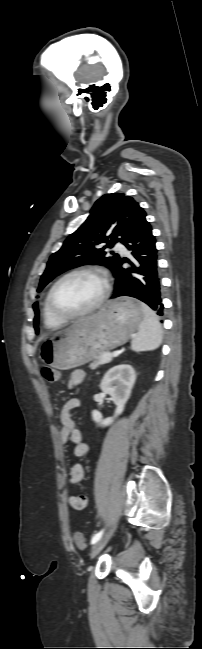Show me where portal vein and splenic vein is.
<instances>
[{
    "mask_svg": "<svg viewBox=\"0 0 202 649\" xmlns=\"http://www.w3.org/2000/svg\"><path fill=\"white\" fill-rule=\"evenodd\" d=\"M101 357H102V362H103V363H108V362H110L111 359H112V355H111V353H103V354L101 355Z\"/></svg>",
    "mask_w": 202,
    "mask_h": 649,
    "instance_id": "1",
    "label": "portal vein and splenic vein"
}]
</instances>
